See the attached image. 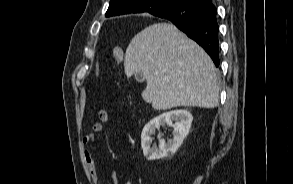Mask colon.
I'll return each instance as SVG.
<instances>
[{
	"instance_id": "5ec220e1",
	"label": "colon",
	"mask_w": 293,
	"mask_h": 184,
	"mask_svg": "<svg viewBox=\"0 0 293 184\" xmlns=\"http://www.w3.org/2000/svg\"><path fill=\"white\" fill-rule=\"evenodd\" d=\"M113 53V57L119 62L121 63L124 59V51L121 47H114L112 50ZM99 75V62L97 61L95 63V76L98 77Z\"/></svg>"
}]
</instances>
